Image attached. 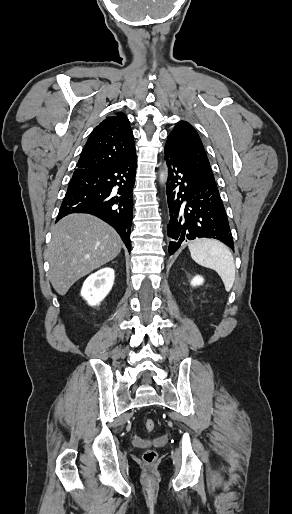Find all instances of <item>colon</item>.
I'll use <instances>...</instances> for the list:
<instances>
[{"label": "colon", "mask_w": 292, "mask_h": 514, "mask_svg": "<svg viewBox=\"0 0 292 514\" xmlns=\"http://www.w3.org/2000/svg\"><path fill=\"white\" fill-rule=\"evenodd\" d=\"M144 427L148 432H153L156 428V423L152 418H146L144 421ZM157 459V452L152 449L148 448L143 453V460L144 462L151 464L154 463Z\"/></svg>", "instance_id": "colon-1"}]
</instances>
